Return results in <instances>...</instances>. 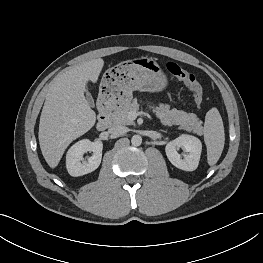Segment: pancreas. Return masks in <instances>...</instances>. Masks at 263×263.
<instances>
[{
	"instance_id": "1",
	"label": "pancreas",
	"mask_w": 263,
	"mask_h": 263,
	"mask_svg": "<svg viewBox=\"0 0 263 263\" xmlns=\"http://www.w3.org/2000/svg\"><path fill=\"white\" fill-rule=\"evenodd\" d=\"M139 104L137 99H133L132 102L123 105L115 110L111 116V120L114 125H133L134 121L130 117V112L137 111ZM154 112L160 119L163 125H179V129H183L187 132H193L197 135H202V121H200L194 113H187L176 108L170 109L169 105L160 104Z\"/></svg>"
}]
</instances>
